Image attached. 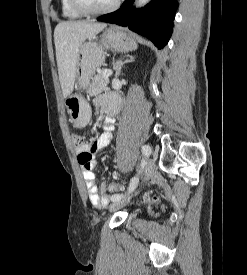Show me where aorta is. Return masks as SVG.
<instances>
[{"label":"aorta","mask_w":247,"mask_h":275,"mask_svg":"<svg viewBox=\"0 0 247 275\" xmlns=\"http://www.w3.org/2000/svg\"><path fill=\"white\" fill-rule=\"evenodd\" d=\"M150 0H136L135 4L136 7H143L145 6Z\"/></svg>","instance_id":"aorta-1"}]
</instances>
